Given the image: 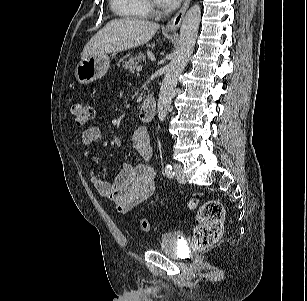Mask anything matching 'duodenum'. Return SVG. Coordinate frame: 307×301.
<instances>
[{"mask_svg":"<svg viewBox=\"0 0 307 301\" xmlns=\"http://www.w3.org/2000/svg\"><path fill=\"white\" fill-rule=\"evenodd\" d=\"M156 114V100L152 95H147L140 105L138 116L145 122H151Z\"/></svg>","mask_w":307,"mask_h":301,"instance_id":"obj_1","label":"duodenum"}]
</instances>
